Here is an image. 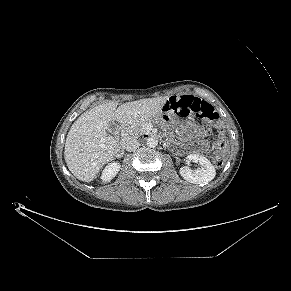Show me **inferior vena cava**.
<instances>
[{
  "instance_id": "602c4592",
  "label": "inferior vena cava",
  "mask_w": 291,
  "mask_h": 291,
  "mask_svg": "<svg viewBox=\"0 0 291 291\" xmlns=\"http://www.w3.org/2000/svg\"><path fill=\"white\" fill-rule=\"evenodd\" d=\"M125 145H126V150L128 152H131V151L136 150L139 147L140 143H139V141L137 139L130 138V139H128L126 141V144Z\"/></svg>"
}]
</instances>
